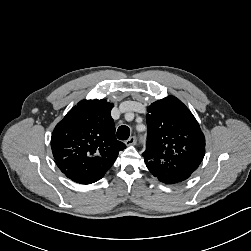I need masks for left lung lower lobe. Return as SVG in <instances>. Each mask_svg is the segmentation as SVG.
Returning <instances> with one entry per match:
<instances>
[{
	"mask_svg": "<svg viewBox=\"0 0 251 251\" xmlns=\"http://www.w3.org/2000/svg\"><path fill=\"white\" fill-rule=\"evenodd\" d=\"M143 156L149 171L161 182L166 184L184 181L198 168L194 163H178L175 165L168 161H162L158 157L150 154L143 153Z\"/></svg>",
	"mask_w": 251,
	"mask_h": 251,
	"instance_id": "1",
	"label": "left lung lower lobe"
}]
</instances>
